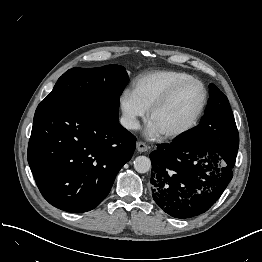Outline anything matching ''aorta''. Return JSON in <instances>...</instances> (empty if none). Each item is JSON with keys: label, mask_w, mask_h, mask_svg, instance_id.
I'll use <instances>...</instances> for the list:
<instances>
[{"label": "aorta", "mask_w": 262, "mask_h": 262, "mask_svg": "<svg viewBox=\"0 0 262 262\" xmlns=\"http://www.w3.org/2000/svg\"><path fill=\"white\" fill-rule=\"evenodd\" d=\"M134 169L138 173H146L151 169V161L146 156H138L134 160Z\"/></svg>", "instance_id": "aorta-1"}]
</instances>
